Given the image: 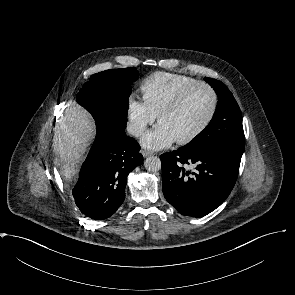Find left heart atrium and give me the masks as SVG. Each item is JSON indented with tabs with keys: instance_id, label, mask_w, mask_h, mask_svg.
Instances as JSON below:
<instances>
[{
	"instance_id": "1",
	"label": "left heart atrium",
	"mask_w": 295,
	"mask_h": 295,
	"mask_svg": "<svg viewBox=\"0 0 295 295\" xmlns=\"http://www.w3.org/2000/svg\"><path fill=\"white\" fill-rule=\"evenodd\" d=\"M177 140L174 133L165 125L159 124L155 129L147 132L141 139L144 147L159 150L166 148Z\"/></svg>"
}]
</instances>
